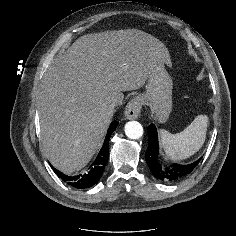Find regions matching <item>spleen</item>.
I'll return each mask as SVG.
<instances>
[{
    "mask_svg": "<svg viewBox=\"0 0 236 236\" xmlns=\"http://www.w3.org/2000/svg\"><path fill=\"white\" fill-rule=\"evenodd\" d=\"M208 117L198 115L182 132L171 134L161 129L160 138L167 156L173 160H183L194 155L204 144Z\"/></svg>",
    "mask_w": 236,
    "mask_h": 236,
    "instance_id": "1",
    "label": "spleen"
}]
</instances>
